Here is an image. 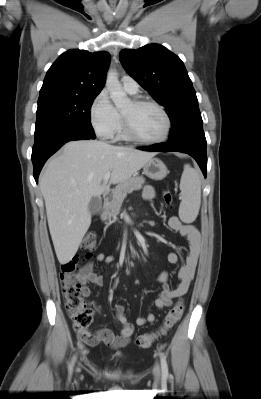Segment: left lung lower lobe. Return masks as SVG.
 Segmentation results:
<instances>
[{
    "label": "left lung lower lobe",
    "mask_w": 261,
    "mask_h": 399,
    "mask_svg": "<svg viewBox=\"0 0 261 399\" xmlns=\"http://www.w3.org/2000/svg\"><path fill=\"white\" fill-rule=\"evenodd\" d=\"M206 138L204 134H200L179 142H164L152 146L140 147L144 151L158 152H182L189 154L195 159L200 166L205 178L207 174V155H206Z\"/></svg>",
    "instance_id": "0a47b994"
}]
</instances>
